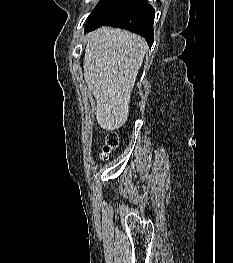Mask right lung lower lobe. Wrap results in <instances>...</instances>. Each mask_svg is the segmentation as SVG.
<instances>
[{
  "mask_svg": "<svg viewBox=\"0 0 233 263\" xmlns=\"http://www.w3.org/2000/svg\"><path fill=\"white\" fill-rule=\"evenodd\" d=\"M155 12L145 0H129L126 5L109 21L105 23H86L85 30L92 31L101 26L123 28L143 36L149 47L154 42L153 22Z\"/></svg>",
  "mask_w": 233,
  "mask_h": 263,
  "instance_id": "1",
  "label": "right lung lower lobe"
}]
</instances>
